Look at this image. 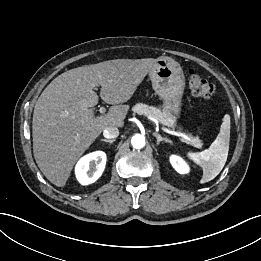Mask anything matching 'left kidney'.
Segmentation results:
<instances>
[{
    "label": "left kidney",
    "mask_w": 261,
    "mask_h": 261,
    "mask_svg": "<svg viewBox=\"0 0 261 261\" xmlns=\"http://www.w3.org/2000/svg\"><path fill=\"white\" fill-rule=\"evenodd\" d=\"M170 163L173 168L180 174H186L190 170L186 162L176 155H172L170 157Z\"/></svg>",
    "instance_id": "obj_1"
}]
</instances>
